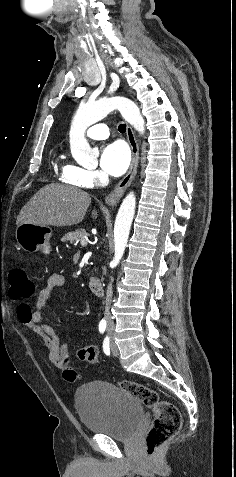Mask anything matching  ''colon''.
Returning a JSON list of instances; mask_svg holds the SVG:
<instances>
[{
	"label": "colon",
	"mask_w": 236,
	"mask_h": 477,
	"mask_svg": "<svg viewBox=\"0 0 236 477\" xmlns=\"http://www.w3.org/2000/svg\"><path fill=\"white\" fill-rule=\"evenodd\" d=\"M9 281L10 297L21 301L18 311L22 313L29 310L30 306L25 301L35 295L37 289L35 282L30 279L23 267H14L9 273ZM77 358L89 363L98 361L90 346L80 348L77 351ZM63 378L73 383L77 380V373L72 368H65ZM119 386L154 412V422L146 436V451L151 456L179 432L182 425L181 414L176 406L161 400L158 393L147 386L128 380L121 381Z\"/></svg>",
	"instance_id": "5ec220e1"
}]
</instances>
